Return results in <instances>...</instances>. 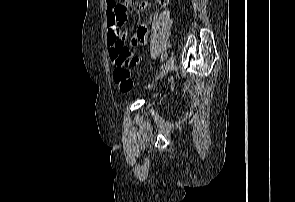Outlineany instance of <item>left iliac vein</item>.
<instances>
[{
  "label": "left iliac vein",
  "mask_w": 295,
  "mask_h": 202,
  "mask_svg": "<svg viewBox=\"0 0 295 202\" xmlns=\"http://www.w3.org/2000/svg\"><path fill=\"white\" fill-rule=\"evenodd\" d=\"M174 57L173 55H171L168 60L166 61V63L164 64V66L162 67V70L160 71L159 75L157 76V80L161 79L162 77H164L174 66Z\"/></svg>",
  "instance_id": "left-iliac-vein-1"
}]
</instances>
